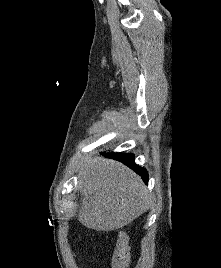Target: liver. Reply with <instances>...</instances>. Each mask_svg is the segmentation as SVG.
Listing matches in <instances>:
<instances>
[{"label":"liver","instance_id":"1","mask_svg":"<svg viewBox=\"0 0 221 268\" xmlns=\"http://www.w3.org/2000/svg\"><path fill=\"white\" fill-rule=\"evenodd\" d=\"M79 221L96 231L124 227L146 212L151 196L141 178L120 162L87 159L79 171Z\"/></svg>","mask_w":221,"mask_h":268}]
</instances>
